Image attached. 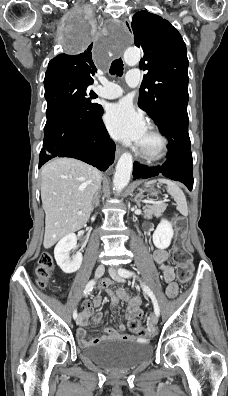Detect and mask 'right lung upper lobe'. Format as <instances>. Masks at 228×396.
Here are the masks:
<instances>
[{
    "label": "right lung upper lobe",
    "instance_id": "obj_1",
    "mask_svg": "<svg viewBox=\"0 0 228 396\" xmlns=\"http://www.w3.org/2000/svg\"><path fill=\"white\" fill-rule=\"evenodd\" d=\"M92 45L76 55L59 54L48 65L45 78L74 77L93 83L92 76L97 71L92 60Z\"/></svg>",
    "mask_w": 228,
    "mask_h": 396
}]
</instances>
